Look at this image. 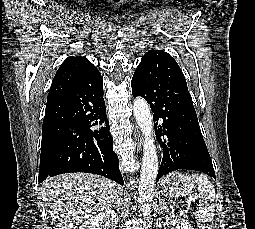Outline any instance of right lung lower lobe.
<instances>
[{"instance_id": "98d812e1", "label": "right lung lower lobe", "mask_w": 255, "mask_h": 229, "mask_svg": "<svg viewBox=\"0 0 255 229\" xmlns=\"http://www.w3.org/2000/svg\"><path fill=\"white\" fill-rule=\"evenodd\" d=\"M103 94L102 76L92 67L66 95L47 103L43 131L60 126L62 133L49 166L40 167L39 182L62 173L87 172L124 184Z\"/></svg>"}]
</instances>
